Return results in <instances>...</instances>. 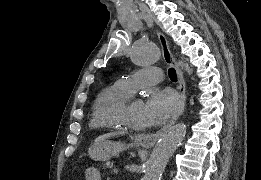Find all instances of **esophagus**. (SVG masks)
Listing matches in <instances>:
<instances>
[{"label":"esophagus","instance_id":"esophagus-1","mask_svg":"<svg viewBox=\"0 0 261 180\" xmlns=\"http://www.w3.org/2000/svg\"><path fill=\"white\" fill-rule=\"evenodd\" d=\"M157 35H158V39H159L161 49H162L163 60L167 63V65L174 66V68L176 70V74L178 77V83H179L180 105H179V108H178L176 114L158 132L147 133L145 135L142 134V135L137 136V141L145 148H152L155 145V143L160 139V137H162V135L165 134V132H167V130H169L172 127V125L176 122V120H178L180 115L183 113L184 108H185V103H186V86H185L184 78L182 75V71H181L180 67L178 66V64L176 63V61L171 53V50L169 48V44H168V41H167L165 35L163 33H161L160 31L157 32Z\"/></svg>","mask_w":261,"mask_h":180}]
</instances>
